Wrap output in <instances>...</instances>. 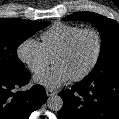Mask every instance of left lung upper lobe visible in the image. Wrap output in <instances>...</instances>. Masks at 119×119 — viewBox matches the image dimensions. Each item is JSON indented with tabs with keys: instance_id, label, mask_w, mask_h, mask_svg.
I'll return each mask as SVG.
<instances>
[{
	"instance_id": "left-lung-upper-lobe-1",
	"label": "left lung upper lobe",
	"mask_w": 119,
	"mask_h": 119,
	"mask_svg": "<svg viewBox=\"0 0 119 119\" xmlns=\"http://www.w3.org/2000/svg\"><path fill=\"white\" fill-rule=\"evenodd\" d=\"M64 20H82L93 23L102 38L100 55L94 69L85 77H112L119 75V24L93 12H79Z\"/></svg>"
}]
</instances>
